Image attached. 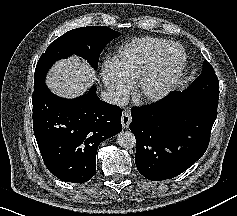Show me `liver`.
<instances>
[{"mask_svg":"<svg viewBox=\"0 0 237 216\" xmlns=\"http://www.w3.org/2000/svg\"><path fill=\"white\" fill-rule=\"evenodd\" d=\"M97 80L94 70L76 56L58 61L47 74L46 85L52 93L76 98Z\"/></svg>","mask_w":237,"mask_h":216,"instance_id":"6515ba94","label":"liver"}]
</instances>
